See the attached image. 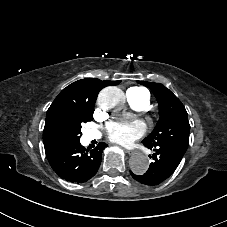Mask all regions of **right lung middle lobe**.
<instances>
[{"instance_id":"obj_1","label":"right lung middle lobe","mask_w":227,"mask_h":227,"mask_svg":"<svg viewBox=\"0 0 227 227\" xmlns=\"http://www.w3.org/2000/svg\"><path fill=\"white\" fill-rule=\"evenodd\" d=\"M94 106L64 102L47 115L43 140L53 150L79 143L81 124L93 120Z\"/></svg>"}]
</instances>
